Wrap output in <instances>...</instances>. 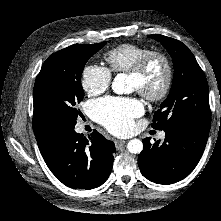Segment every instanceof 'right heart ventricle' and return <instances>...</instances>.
<instances>
[{"instance_id": "obj_1", "label": "right heart ventricle", "mask_w": 221, "mask_h": 221, "mask_svg": "<svg viewBox=\"0 0 221 221\" xmlns=\"http://www.w3.org/2000/svg\"><path fill=\"white\" fill-rule=\"evenodd\" d=\"M150 49L134 44L118 45L104 54L107 69L112 74L128 73Z\"/></svg>"}]
</instances>
